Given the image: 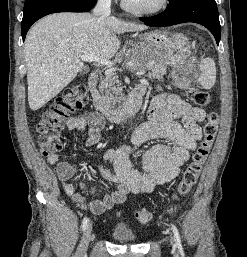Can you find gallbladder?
I'll list each match as a JSON object with an SVG mask.
<instances>
[{"instance_id": "gallbladder-1", "label": "gallbladder", "mask_w": 247, "mask_h": 257, "mask_svg": "<svg viewBox=\"0 0 247 257\" xmlns=\"http://www.w3.org/2000/svg\"><path fill=\"white\" fill-rule=\"evenodd\" d=\"M88 71H89V70H88L87 68H84V69L81 71V74L84 75V74L88 73Z\"/></svg>"}]
</instances>
